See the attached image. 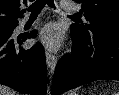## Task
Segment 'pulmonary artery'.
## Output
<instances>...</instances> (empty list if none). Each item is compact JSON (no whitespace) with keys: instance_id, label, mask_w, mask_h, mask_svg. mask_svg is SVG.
Segmentation results:
<instances>
[{"instance_id":"1","label":"pulmonary artery","mask_w":119,"mask_h":95,"mask_svg":"<svg viewBox=\"0 0 119 95\" xmlns=\"http://www.w3.org/2000/svg\"><path fill=\"white\" fill-rule=\"evenodd\" d=\"M61 6L66 11H74L76 9L75 5H73L72 3L68 1H62ZM27 21H28V18H24L21 21V24L24 25Z\"/></svg>"}]
</instances>
